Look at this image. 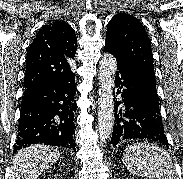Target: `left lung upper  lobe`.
Masks as SVG:
<instances>
[{
  "label": "left lung upper lobe",
  "instance_id": "5c2ea615",
  "mask_svg": "<svg viewBox=\"0 0 183 179\" xmlns=\"http://www.w3.org/2000/svg\"><path fill=\"white\" fill-rule=\"evenodd\" d=\"M105 48L121 62L134 68L157 104L153 57L149 37L138 19L126 13L116 14L108 23Z\"/></svg>",
  "mask_w": 183,
  "mask_h": 179
}]
</instances>
